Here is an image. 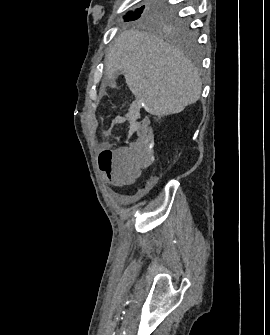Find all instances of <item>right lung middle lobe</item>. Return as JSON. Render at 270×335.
I'll list each match as a JSON object with an SVG mask.
<instances>
[{"label": "right lung middle lobe", "instance_id": "obj_1", "mask_svg": "<svg viewBox=\"0 0 270 335\" xmlns=\"http://www.w3.org/2000/svg\"><path fill=\"white\" fill-rule=\"evenodd\" d=\"M162 1L165 0H146L145 5L136 9L135 12H128L124 16L125 21L139 19L166 32L181 45L194 44L196 35L189 27V22L179 16L178 4Z\"/></svg>", "mask_w": 270, "mask_h": 335}]
</instances>
